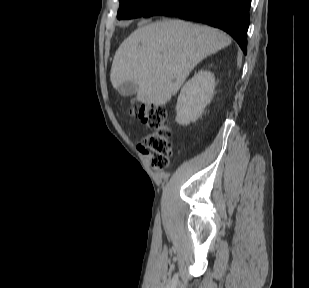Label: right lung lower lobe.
Returning <instances> with one entry per match:
<instances>
[{
  "mask_svg": "<svg viewBox=\"0 0 309 288\" xmlns=\"http://www.w3.org/2000/svg\"><path fill=\"white\" fill-rule=\"evenodd\" d=\"M251 0H164L143 17L176 16L220 28L247 52V30Z\"/></svg>",
  "mask_w": 309,
  "mask_h": 288,
  "instance_id": "98d812e1",
  "label": "right lung lower lobe"
}]
</instances>
